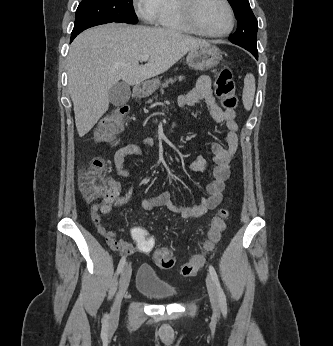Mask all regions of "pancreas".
Wrapping results in <instances>:
<instances>
[{
    "label": "pancreas",
    "mask_w": 333,
    "mask_h": 346,
    "mask_svg": "<svg viewBox=\"0 0 333 346\" xmlns=\"http://www.w3.org/2000/svg\"><path fill=\"white\" fill-rule=\"evenodd\" d=\"M183 79H184L183 76H179V77H178V80H179V81H182ZM175 81H176V78H175V79L166 80L165 83H163V84L161 85V87H162V88H166V87H168L169 83H174ZM161 91H163V90L161 89Z\"/></svg>",
    "instance_id": "obj_1"
}]
</instances>
